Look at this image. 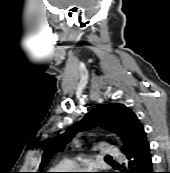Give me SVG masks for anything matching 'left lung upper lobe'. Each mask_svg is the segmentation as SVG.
<instances>
[{
	"label": "left lung upper lobe",
	"mask_w": 170,
	"mask_h": 173,
	"mask_svg": "<svg viewBox=\"0 0 170 173\" xmlns=\"http://www.w3.org/2000/svg\"><path fill=\"white\" fill-rule=\"evenodd\" d=\"M97 124L121 136L124 142L123 153L147 141L142 124L128 107L117 103L98 104L79 123L71 126L66 132L56 136L48 143L43 153L40 169L72 140L76 132L91 129Z\"/></svg>",
	"instance_id": "obj_1"
}]
</instances>
